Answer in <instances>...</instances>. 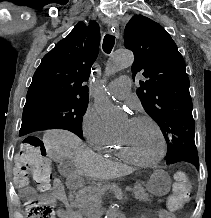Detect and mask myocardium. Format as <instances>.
<instances>
[{
    "label": "myocardium",
    "mask_w": 211,
    "mask_h": 218,
    "mask_svg": "<svg viewBox=\"0 0 211 218\" xmlns=\"http://www.w3.org/2000/svg\"><path fill=\"white\" fill-rule=\"evenodd\" d=\"M131 119H133V120H146L154 126V128L156 129V131L159 135V138H160V144H161L160 153H159L158 157H156L154 160H151V161L139 159L133 153H131V151L128 149V147L126 146L124 141L118 135H116L115 139H116V142L118 144L119 149L131 162H133L137 165L148 167V166H154V165L158 164L162 160V158L164 157V154H165V135H164V132H163L161 126L158 124V122L154 118H152L149 115H136V116L132 117Z\"/></svg>",
    "instance_id": "obj_1"
}]
</instances>
